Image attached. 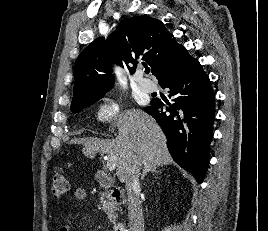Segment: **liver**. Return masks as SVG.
<instances>
[{
    "mask_svg": "<svg viewBox=\"0 0 268 231\" xmlns=\"http://www.w3.org/2000/svg\"><path fill=\"white\" fill-rule=\"evenodd\" d=\"M119 130L116 138H82L75 142L84 146L83 153L94 157L97 153L114 154L117 157L116 175L125 181L127 168L137 157L144 164L157 166L172 163L166 146V137L156 121L139 109L128 110L116 118Z\"/></svg>",
    "mask_w": 268,
    "mask_h": 231,
    "instance_id": "1",
    "label": "liver"
}]
</instances>
